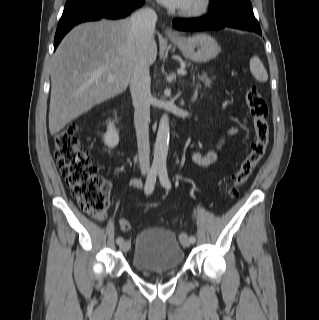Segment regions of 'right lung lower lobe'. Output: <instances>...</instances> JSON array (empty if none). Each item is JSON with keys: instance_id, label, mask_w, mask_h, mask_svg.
Here are the masks:
<instances>
[{"instance_id": "1", "label": "right lung lower lobe", "mask_w": 319, "mask_h": 320, "mask_svg": "<svg viewBox=\"0 0 319 320\" xmlns=\"http://www.w3.org/2000/svg\"><path fill=\"white\" fill-rule=\"evenodd\" d=\"M142 4L143 0H93L78 8L63 12L54 38V50L65 34L75 25L101 18H122Z\"/></svg>"}]
</instances>
